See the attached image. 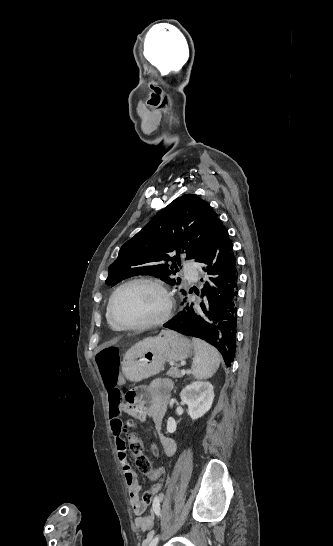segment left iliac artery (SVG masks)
I'll use <instances>...</instances> for the list:
<instances>
[{
	"label": "left iliac artery",
	"mask_w": 333,
	"mask_h": 546,
	"mask_svg": "<svg viewBox=\"0 0 333 546\" xmlns=\"http://www.w3.org/2000/svg\"><path fill=\"white\" fill-rule=\"evenodd\" d=\"M159 540V536L157 535L152 539V541L149 543V546H156Z\"/></svg>",
	"instance_id": "1"
}]
</instances>
